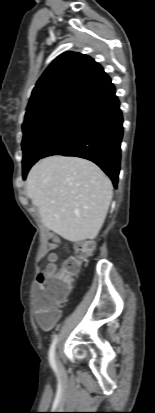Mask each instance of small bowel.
<instances>
[{
  "instance_id": "c3829d8e",
  "label": "small bowel",
  "mask_w": 155,
  "mask_h": 413,
  "mask_svg": "<svg viewBox=\"0 0 155 413\" xmlns=\"http://www.w3.org/2000/svg\"><path fill=\"white\" fill-rule=\"evenodd\" d=\"M44 291V286L41 283H38L35 287V293H34V301L35 304L37 303V300L39 296L43 293ZM37 313H38V321L41 324V326L49 330L53 327L57 319L59 318V311L54 310V311H44L39 308H37Z\"/></svg>"
}]
</instances>
